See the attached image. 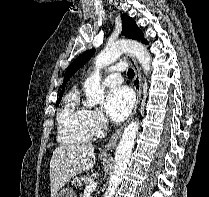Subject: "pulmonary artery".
I'll return each mask as SVG.
<instances>
[{
	"label": "pulmonary artery",
	"instance_id": "obj_1",
	"mask_svg": "<svg viewBox=\"0 0 209 197\" xmlns=\"http://www.w3.org/2000/svg\"><path fill=\"white\" fill-rule=\"evenodd\" d=\"M125 70V65H113L107 69V73L103 79V84L108 87H114L122 82L120 72Z\"/></svg>",
	"mask_w": 209,
	"mask_h": 197
}]
</instances>
